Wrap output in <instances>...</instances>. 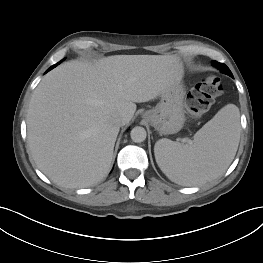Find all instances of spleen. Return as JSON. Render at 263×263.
<instances>
[{
  "instance_id": "1",
  "label": "spleen",
  "mask_w": 263,
  "mask_h": 263,
  "mask_svg": "<svg viewBox=\"0 0 263 263\" xmlns=\"http://www.w3.org/2000/svg\"><path fill=\"white\" fill-rule=\"evenodd\" d=\"M240 113L234 104L220 109L194 135L191 144L170 139L155 143L156 162L174 183L196 186L220 177L233 161L240 140Z\"/></svg>"
}]
</instances>
